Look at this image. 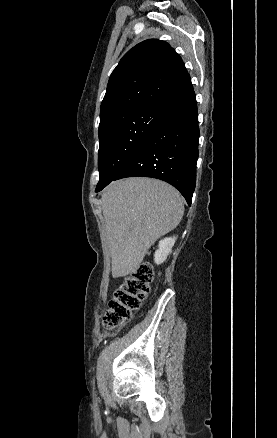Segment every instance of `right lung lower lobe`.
Segmentation results:
<instances>
[{
    "label": "right lung lower lobe",
    "mask_w": 277,
    "mask_h": 438,
    "mask_svg": "<svg viewBox=\"0 0 277 438\" xmlns=\"http://www.w3.org/2000/svg\"><path fill=\"white\" fill-rule=\"evenodd\" d=\"M198 139L197 102L191 90L167 106L143 145L112 181L133 176L158 178L177 188L191 205ZM108 184L97 186L95 191Z\"/></svg>",
    "instance_id": "obj_1"
}]
</instances>
